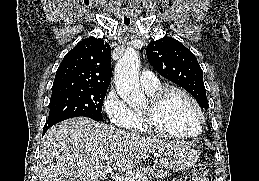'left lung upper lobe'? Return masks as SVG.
<instances>
[{"label":"left lung upper lobe","instance_id":"obj_1","mask_svg":"<svg viewBox=\"0 0 259 181\" xmlns=\"http://www.w3.org/2000/svg\"><path fill=\"white\" fill-rule=\"evenodd\" d=\"M146 54L161 76L186 89L202 108L208 109L203 71L189 49L173 38L164 37L149 43Z\"/></svg>","mask_w":259,"mask_h":181}]
</instances>
